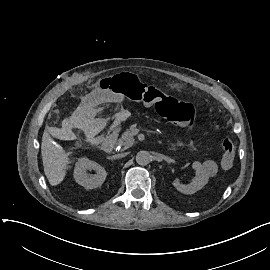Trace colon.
Masks as SVG:
<instances>
[{
  "label": "colon",
  "instance_id": "5ec220e1",
  "mask_svg": "<svg viewBox=\"0 0 270 270\" xmlns=\"http://www.w3.org/2000/svg\"><path fill=\"white\" fill-rule=\"evenodd\" d=\"M96 86L109 88L131 100L153 106L160 116L166 117L177 126L195 127L196 116L192 103L176 99L164 94L155 86L141 82L140 77L133 72L119 74L113 79L98 77ZM221 150L225 155L221 159V164L225 168H230L234 164V159L230 156L235 150L234 140L229 136H224L221 141Z\"/></svg>",
  "mask_w": 270,
  "mask_h": 270
}]
</instances>
